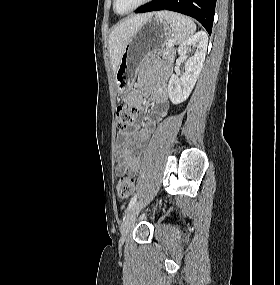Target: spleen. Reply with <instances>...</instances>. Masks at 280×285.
Returning a JSON list of instances; mask_svg holds the SVG:
<instances>
[{
	"instance_id": "obj_1",
	"label": "spleen",
	"mask_w": 280,
	"mask_h": 285,
	"mask_svg": "<svg viewBox=\"0 0 280 285\" xmlns=\"http://www.w3.org/2000/svg\"><path fill=\"white\" fill-rule=\"evenodd\" d=\"M158 17L165 19L172 27L174 42L180 44L187 40L196 31L194 21L181 15L170 11H162L157 13Z\"/></svg>"
}]
</instances>
